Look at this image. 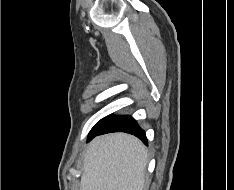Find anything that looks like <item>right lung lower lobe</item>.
<instances>
[{"label":"right lung lower lobe","instance_id":"1","mask_svg":"<svg viewBox=\"0 0 234 190\" xmlns=\"http://www.w3.org/2000/svg\"><path fill=\"white\" fill-rule=\"evenodd\" d=\"M111 132L130 133L141 139L143 143L147 144L145 132L138 126L135 119L128 115H111L102 127L90 132L88 140H91L97 135Z\"/></svg>","mask_w":234,"mask_h":190}]
</instances>
